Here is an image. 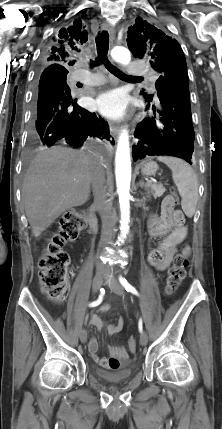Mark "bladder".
Returning <instances> with one entry per match:
<instances>
[{"instance_id": "obj_1", "label": "bladder", "mask_w": 222, "mask_h": 429, "mask_svg": "<svg viewBox=\"0 0 222 429\" xmlns=\"http://www.w3.org/2000/svg\"><path fill=\"white\" fill-rule=\"evenodd\" d=\"M135 364L114 372L106 371L101 368H95L94 374L101 380L108 383H123L128 381L133 375Z\"/></svg>"}]
</instances>
